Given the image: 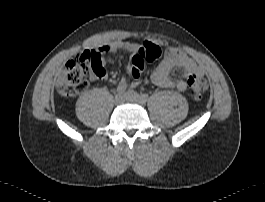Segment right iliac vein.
Returning a JSON list of instances; mask_svg holds the SVG:
<instances>
[{"instance_id": "right-iliac-vein-1", "label": "right iliac vein", "mask_w": 265, "mask_h": 202, "mask_svg": "<svg viewBox=\"0 0 265 202\" xmlns=\"http://www.w3.org/2000/svg\"><path fill=\"white\" fill-rule=\"evenodd\" d=\"M125 99H126V96L124 94H118V95L115 96V102L117 104L124 103Z\"/></svg>"}]
</instances>
